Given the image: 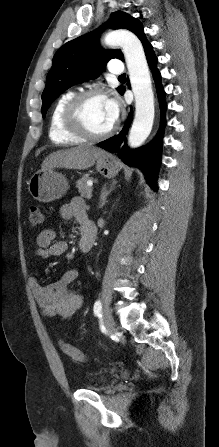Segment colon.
I'll return each mask as SVG.
<instances>
[{
    "label": "colon",
    "mask_w": 219,
    "mask_h": 447,
    "mask_svg": "<svg viewBox=\"0 0 219 447\" xmlns=\"http://www.w3.org/2000/svg\"><path fill=\"white\" fill-rule=\"evenodd\" d=\"M42 222V212L37 204H31L29 207V225L32 227H37ZM59 346L62 352L76 362H83L85 360L84 353L76 348L75 346L66 343L64 341H59Z\"/></svg>",
    "instance_id": "obj_1"
}]
</instances>
